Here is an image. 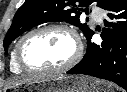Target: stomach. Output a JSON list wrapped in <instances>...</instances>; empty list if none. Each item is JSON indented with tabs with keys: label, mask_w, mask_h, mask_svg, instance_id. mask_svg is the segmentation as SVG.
Listing matches in <instances>:
<instances>
[{
	"label": "stomach",
	"mask_w": 127,
	"mask_h": 92,
	"mask_svg": "<svg viewBox=\"0 0 127 92\" xmlns=\"http://www.w3.org/2000/svg\"><path fill=\"white\" fill-rule=\"evenodd\" d=\"M22 87V85H21ZM28 91L36 92H106L97 81L86 76L60 75L40 81L26 83ZM20 87L13 86L8 92H17Z\"/></svg>",
	"instance_id": "0dacf381"
}]
</instances>
